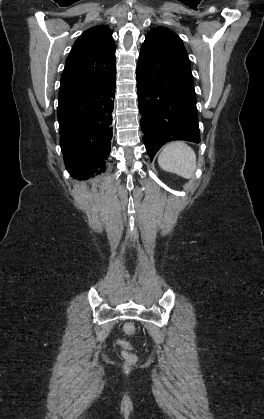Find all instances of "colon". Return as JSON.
Returning <instances> with one entry per match:
<instances>
[{"mask_svg":"<svg viewBox=\"0 0 264 419\" xmlns=\"http://www.w3.org/2000/svg\"><path fill=\"white\" fill-rule=\"evenodd\" d=\"M134 331H135V327L132 323H127L124 326V333L126 335H131L134 333ZM118 343L124 349L123 357H124L125 362L128 365H134L137 362V356L131 351L130 344L126 342L125 340H119Z\"/></svg>","mask_w":264,"mask_h":419,"instance_id":"1","label":"colon"}]
</instances>
